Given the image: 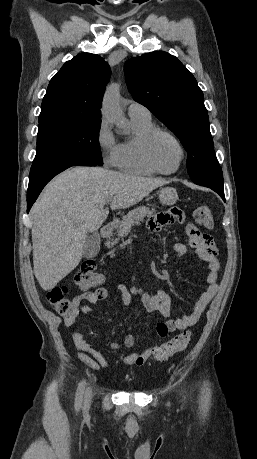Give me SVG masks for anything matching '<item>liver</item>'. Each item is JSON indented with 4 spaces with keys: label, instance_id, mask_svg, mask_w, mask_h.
Returning <instances> with one entry per match:
<instances>
[{
    "label": "liver",
    "instance_id": "1",
    "mask_svg": "<svg viewBox=\"0 0 257 459\" xmlns=\"http://www.w3.org/2000/svg\"><path fill=\"white\" fill-rule=\"evenodd\" d=\"M99 167H74L54 178L31 209L34 274L44 290L55 287L81 261L89 232L108 217L104 209L134 206L154 189L168 184Z\"/></svg>",
    "mask_w": 257,
    "mask_h": 459
}]
</instances>
